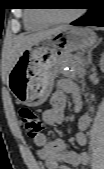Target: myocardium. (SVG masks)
Segmentation results:
<instances>
[{
    "label": "myocardium",
    "instance_id": "1",
    "mask_svg": "<svg viewBox=\"0 0 104 169\" xmlns=\"http://www.w3.org/2000/svg\"><path fill=\"white\" fill-rule=\"evenodd\" d=\"M79 16V12L76 11L75 13H73L72 15H69L67 17H63V18H53L49 15H42L41 17L46 20L49 23H69L75 19H77Z\"/></svg>",
    "mask_w": 104,
    "mask_h": 169
}]
</instances>
